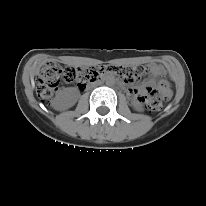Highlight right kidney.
<instances>
[{"label":"right kidney","mask_w":206,"mask_h":206,"mask_svg":"<svg viewBox=\"0 0 206 206\" xmlns=\"http://www.w3.org/2000/svg\"><path fill=\"white\" fill-rule=\"evenodd\" d=\"M76 102V97L69 90H62L58 93L55 100V108L64 110L73 106Z\"/></svg>","instance_id":"right-kidney-1"}]
</instances>
